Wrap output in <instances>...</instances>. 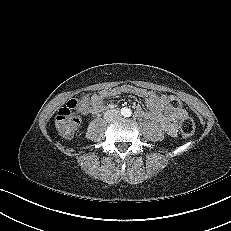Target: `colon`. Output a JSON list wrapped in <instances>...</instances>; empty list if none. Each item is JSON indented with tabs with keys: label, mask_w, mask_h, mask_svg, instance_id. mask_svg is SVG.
<instances>
[{
	"label": "colon",
	"mask_w": 231,
	"mask_h": 231,
	"mask_svg": "<svg viewBox=\"0 0 231 231\" xmlns=\"http://www.w3.org/2000/svg\"><path fill=\"white\" fill-rule=\"evenodd\" d=\"M167 103L174 110L182 109V102L177 97H168ZM78 113H82V109L77 99L69 100L66 106L58 111L55 126L62 137H70L75 132L80 121ZM179 129L184 136H192L195 132L193 119L187 115L182 116L179 122Z\"/></svg>",
	"instance_id": "colon-1"
}]
</instances>
